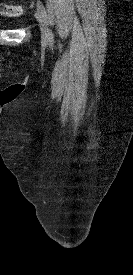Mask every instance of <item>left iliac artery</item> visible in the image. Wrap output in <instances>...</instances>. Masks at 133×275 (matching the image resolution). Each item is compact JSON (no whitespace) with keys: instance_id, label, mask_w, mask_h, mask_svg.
Returning <instances> with one entry per match:
<instances>
[{"instance_id":"left-iliac-artery-1","label":"left iliac artery","mask_w":133,"mask_h":275,"mask_svg":"<svg viewBox=\"0 0 133 275\" xmlns=\"http://www.w3.org/2000/svg\"><path fill=\"white\" fill-rule=\"evenodd\" d=\"M37 7L42 12V14L44 15V17L47 19V13H46L45 7H44V5L40 1L37 3ZM49 36H50L49 37V41L53 42V33H52V31H50Z\"/></svg>"}]
</instances>
